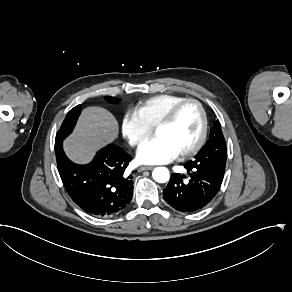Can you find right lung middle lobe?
Instances as JSON below:
<instances>
[{"label": "right lung middle lobe", "mask_w": 292, "mask_h": 292, "mask_svg": "<svg viewBox=\"0 0 292 292\" xmlns=\"http://www.w3.org/2000/svg\"><path fill=\"white\" fill-rule=\"evenodd\" d=\"M106 100L110 103H118L120 101V99L113 98V97H106ZM80 113H81V105L75 106L73 109H71L67 113L56 135L55 143L63 141L72 132Z\"/></svg>", "instance_id": "dd1d6c3e"}]
</instances>
